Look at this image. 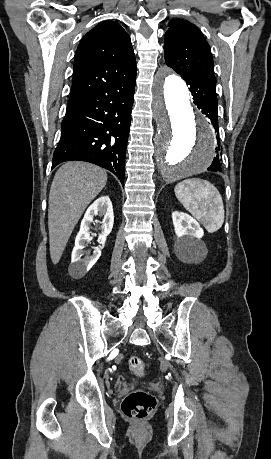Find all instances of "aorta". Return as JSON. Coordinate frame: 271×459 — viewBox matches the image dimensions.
I'll return each mask as SVG.
<instances>
[{"mask_svg":"<svg viewBox=\"0 0 271 459\" xmlns=\"http://www.w3.org/2000/svg\"><path fill=\"white\" fill-rule=\"evenodd\" d=\"M152 92L154 159L163 178L174 181L203 172L214 158L216 139L208 122L191 107L186 83L163 66Z\"/></svg>","mask_w":271,"mask_h":459,"instance_id":"762f6f07","label":"aorta"}]
</instances>
